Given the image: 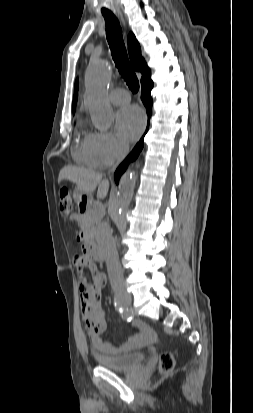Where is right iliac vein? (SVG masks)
I'll return each mask as SVG.
<instances>
[{
  "label": "right iliac vein",
  "instance_id": "1",
  "mask_svg": "<svg viewBox=\"0 0 253 413\" xmlns=\"http://www.w3.org/2000/svg\"><path fill=\"white\" fill-rule=\"evenodd\" d=\"M119 300L123 305L128 306L130 305L132 298L130 295H120Z\"/></svg>",
  "mask_w": 253,
  "mask_h": 413
}]
</instances>
